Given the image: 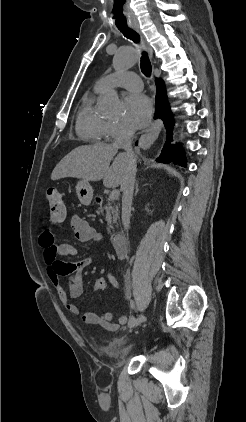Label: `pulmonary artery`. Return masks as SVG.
<instances>
[{"mask_svg":"<svg viewBox=\"0 0 246 422\" xmlns=\"http://www.w3.org/2000/svg\"><path fill=\"white\" fill-rule=\"evenodd\" d=\"M95 87L99 91L111 87H123L133 91H140L142 89V81L134 72L113 73L100 78Z\"/></svg>","mask_w":246,"mask_h":422,"instance_id":"e3ab8cb5","label":"pulmonary artery"}]
</instances>
